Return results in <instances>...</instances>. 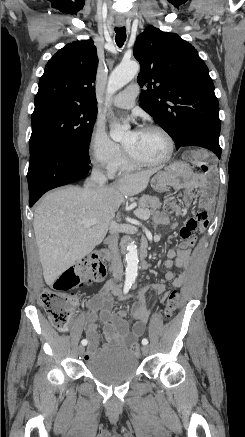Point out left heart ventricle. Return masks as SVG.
<instances>
[{
  "mask_svg": "<svg viewBox=\"0 0 245 437\" xmlns=\"http://www.w3.org/2000/svg\"><path fill=\"white\" fill-rule=\"evenodd\" d=\"M123 144L131 155L142 160H157L167 151V142L163 135L155 130H139L129 132Z\"/></svg>",
  "mask_w": 245,
  "mask_h": 437,
  "instance_id": "obj_1",
  "label": "left heart ventricle"
}]
</instances>
